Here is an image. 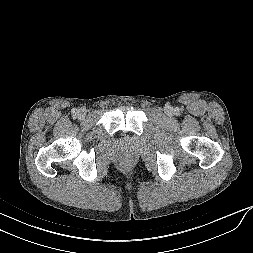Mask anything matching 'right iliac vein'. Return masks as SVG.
Segmentation results:
<instances>
[{
	"mask_svg": "<svg viewBox=\"0 0 253 253\" xmlns=\"http://www.w3.org/2000/svg\"><path fill=\"white\" fill-rule=\"evenodd\" d=\"M85 115H86V111H85V110H83V109L78 110L77 116H78L80 119L84 118Z\"/></svg>",
	"mask_w": 253,
	"mask_h": 253,
	"instance_id": "right-iliac-vein-1",
	"label": "right iliac vein"
}]
</instances>
